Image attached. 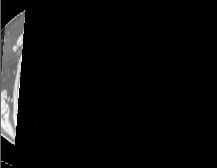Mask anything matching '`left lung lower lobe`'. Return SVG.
Masks as SVG:
<instances>
[{
    "instance_id": "obj_1",
    "label": "left lung lower lobe",
    "mask_w": 217,
    "mask_h": 168,
    "mask_svg": "<svg viewBox=\"0 0 217 168\" xmlns=\"http://www.w3.org/2000/svg\"><path fill=\"white\" fill-rule=\"evenodd\" d=\"M178 115L177 105L150 99L130 107L121 125L130 136L142 140L156 139L168 131Z\"/></svg>"
}]
</instances>
